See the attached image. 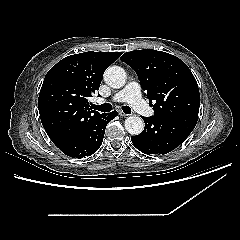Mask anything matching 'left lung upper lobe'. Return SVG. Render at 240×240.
I'll list each match as a JSON object with an SVG mask.
<instances>
[{
    "mask_svg": "<svg viewBox=\"0 0 240 240\" xmlns=\"http://www.w3.org/2000/svg\"><path fill=\"white\" fill-rule=\"evenodd\" d=\"M121 60L132 67L158 118H198L200 94L188 66L166 52L143 49L126 52Z\"/></svg>",
    "mask_w": 240,
    "mask_h": 240,
    "instance_id": "5c2ea615",
    "label": "left lung upper lobe"
}]
</instances>
